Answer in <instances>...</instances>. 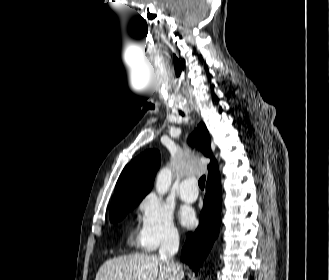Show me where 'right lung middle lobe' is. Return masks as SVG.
<instances>
[{
    "label": "right lung middle lobe",
    "instance_id": "obj_1",
    "mask_svg": "<svg viewBox=\"0 0 329 280\" xmlns=\"http://www.w3.org/2000/svg\"><path fill=\"white\" fill-rule=\"evenodd\" d=\"M142 199L125 200L118 203L110 209V221L116 222L122 220L128 211L133 209Z\"/></svg>",
    "mask_w": 329,
    "mask_h": 280
}]
</instances>
